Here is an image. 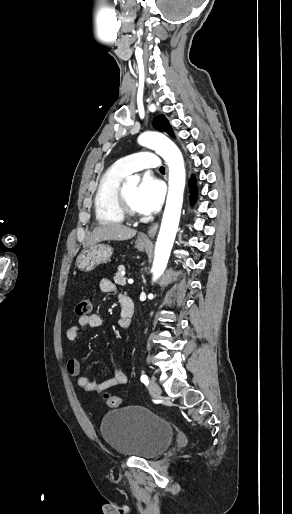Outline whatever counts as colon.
<instances>
[{"mask_svg": "<svg viewBox=\"0 0 292 514\" xmlns=\"http://www.w3.org/2000/svg\"><path fill=\"white\" fill-rule=\"evenodd\" d=\"M91 311V302L89 299H82L76 304V313L78 315H88ZM104 403L106 406L111 409H117L121 404V399L117 396L111 395L109 393L102 394Z\"/></svg>", "mask_w": 292, "mask_h": 514, "instance_id": "obj_1", "label": "colon"}]
</instances>
